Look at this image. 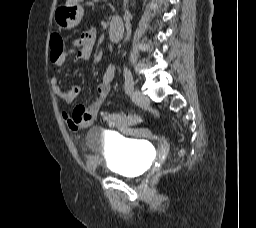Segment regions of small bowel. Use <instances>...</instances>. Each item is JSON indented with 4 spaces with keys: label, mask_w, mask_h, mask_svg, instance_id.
<instances>
[{
    "label": "small bowel",
    "mask_w": 256,
    "mask_h": 228,
    "mask_svg": "<svg viewBox=\"0 0 256 228\" xmlns=\"http://www.w3.org/2000/svg\"><path fill=\"white\" fill-rule=\"evenodd\" d=\"M96 41V31L89 28L81 34L74 43L72 49L64 51L57 58H51L55 66H62L69 54L74 53L77 61L88 60L94 50ZM115 75V66L109 65L106 69L101 82L96 87V98L89 105H77L71 114L63 112V118L67 126L73 131L86 129L96 121L100 107L107 98L111 90V81ZM52 92L59 96L65 103L71 104L78 97L81 87L77 84L72 85L67 90H62L59 86L58 76H53L50 80Z\"/></svg>",
    "instance_id": "1"
}]
</instances>
